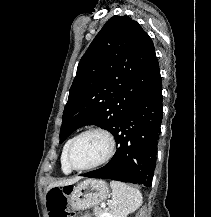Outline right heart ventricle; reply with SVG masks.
Returning <instances> with one entry per match:
<instances>
[{"label": "right heart ventricle", "instance_id": "e07e8e85", "mask_svg": "<svg viewBox=\"0 0 211 217\" xmlns=\"http://www.w3.org/2000/svg\"><path fill=\"white\" fill-rule=\"evenodd\" d=\"M73 138L74 137L69 138L65 142V144L62 148L61 157H60V165H61V170L64 174H69L72 172V169L69 167V165L67 163L66 155H67V150H68L69 144L71 143Z\"/></svg>", "mask_w": 211, "mask_h": 217}]
</instances>
